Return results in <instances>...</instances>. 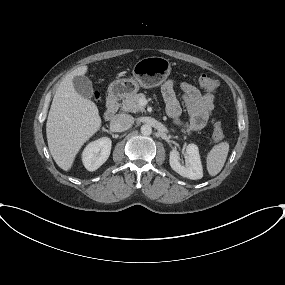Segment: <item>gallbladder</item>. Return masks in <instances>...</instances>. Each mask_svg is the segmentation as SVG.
I'll return each mask as SVG.
<instances>
[{"label": "gallbladder", "instance_id": "gallbladder-1", "mask_svg": "<svg viewBox=\"0 0 285 285\" xmlns=\"http://www.w3.org/2000/svg\"><path fill=\"white\" fill-rule=\"evenodd\" d=\"M73 85L78 94L82 97L90 99L93 95V87L90 79L85 76H75L73 78Z\"/></svg>", "mask_w": 285, "mask_h": 285}]
</instances>
